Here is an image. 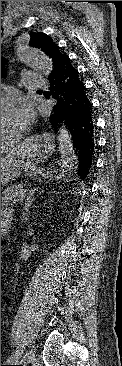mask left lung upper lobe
I'll list each match as a JSON object with an SVG mask.
<instances>
[{
	"mask_svg": "<svg viewBox=\"0 0 122 366\" xmlns=\"http://www.w3.org/2000/svg\"><path fill=\"white\" fill-rule=\"evenodd\" d=\"M30 44L33 47L39 48L44 51L53 61L54 68L59 64L61 59L66 56L57 47L56 44L50 39L48 35L45 33H30ZM3 60H1V68H2ZM2 73V71H1Z\"/></svg>",
	"mask_w": 122,
	"mask_h": 366,
	"instance_id": "obj_1",
	"label": "left lung upper lobe"
}]
</instances>
